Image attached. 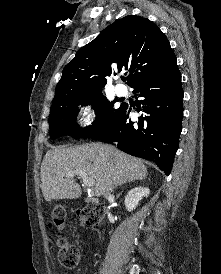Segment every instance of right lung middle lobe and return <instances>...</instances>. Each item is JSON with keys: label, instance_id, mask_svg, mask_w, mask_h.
I'll return each instance as SVG.
<instances>
[{"label": "right lung middle lobe", "instance_id": "right-lung-middle-lobe-1", "mask_svg": "<svg viewBox=\"0 0 221 274\" xmlns=\"http://www.w3.org/2000/svg\"><path fill=\"white\" fill-rule=\"evenodd\" d=\"M89 104H93L96 120L91 126L80 129L74 122L79 112L78 105L87 106ZM119 110L120 108L114 109L102 93L83 98L65 97L58 99L52 103L50 109V137L54 139L63 135H70L90 138L104 129L115 118Z\"/></svg>", "mask_w": 221, "mask_h": 274}]
</instances>
